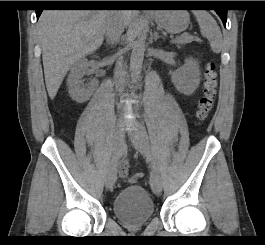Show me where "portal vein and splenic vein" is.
I'll return each mask as SVG.
<instances>
[{
	"instance_id": "1",
	"label": "portal vein and splenic vein",
	"mask_w": 265,
	"mask_h": 245,
	"mask_svg": "<svg viewBox=\"0 0 265 245\" xmlns=\"http://www.w3.org/2000/svg\"><path fill=\"white\" fill-rule=\"evenodd\" d=\"M184 37H187V38H193V36H190V35H185ZM181 38V37H180ZM179 38H176V39H172L171 40V43H175Z\"/></svg>"
}]
</instances>
